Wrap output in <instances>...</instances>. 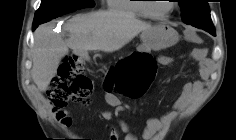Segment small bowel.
Listing matches in <instances>:
<instances>
[{"label":"small bowel","mask_w":236,"mask_h":140,"mask_svg":"<svg viewBox=\"0 0 236 140\" xmlns=\"http://www.w3.org/2000/svg\"><path fill=\"white\" fill-rule=\"evenodd\" d=\"M188 35L190 38L194 37L192 32H188ZM191 57L200 65L201 78L185 83L181 89L180 95L167 112L159 117L148 118L141 135L143 140H156L158 138H164L169 125L178 117L181 112L186 109L188 104L195 98V96L201 93L203 90L205 81L208 78L205 53L201 49H196L191 53ZM158 62L163 66H168L172 64L173 59L169 56L161 55L158 57ZM55 115L58 121L64 127H70L72 125V117L67 110H55ZM103 117L106 120L115 119V116L111 111L103 112ZM121 135H124V140H139L138 137L131 131L129 125L126 122L118 120L117 125L110 128V140H118Z\"/></svg>","instance_id":"c3829d8e"}]
</instances>
